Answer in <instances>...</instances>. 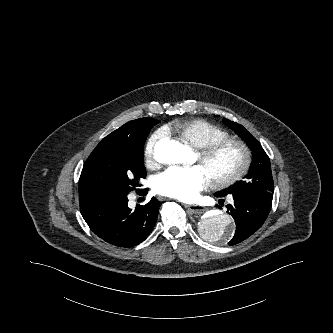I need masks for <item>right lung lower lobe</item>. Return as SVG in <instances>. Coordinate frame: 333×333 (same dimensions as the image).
Returning a JSON list of instances; mask_svg holds the SVG:
<instances>
[{
    "mask_svg": "<svg viewBox=\"0 0 333 333\" xmlns=\"http://www.w3.org/2000/svg\"><path fill=\"white\" fill-rule=\"evenodd\" d=\"M146 195L148 189L138 190ZM128 194H100L80 197V212L90 229L104 241L118 247H132L152 232L160 201L154 197L134 211L128 208Z\"/></svg>",
    "mask_w": 333,
    "mask_h": 333,
    "instance_id": "98d812e1",
    "label": "right lung lower lobe"
}]
</instances>
